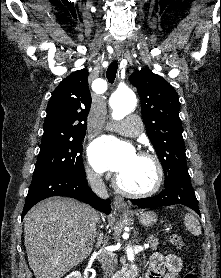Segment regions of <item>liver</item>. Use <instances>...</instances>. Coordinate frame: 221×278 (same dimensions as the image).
Instances as JSON below:
<instances>
[{
    "mask_svg": "<svg viewBox=\"0 0 221 278\" xmlns=\"http://www.w3.org/2000/svg\"><path fill=\"white\" fill-rule=\"evenodd\" d=\"M97 213L65 197L46 199L24 218L28 262L36 278H62L91 253Z\"/></svg>",
    "mask_w": 221,
    "mask_h": 278,
    "instance_id": "obj_1",
    "label": "liver"
}]
</instances>
